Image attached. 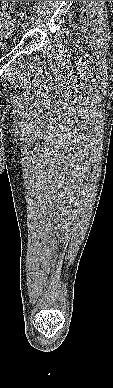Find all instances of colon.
<instances>
[{"mask_svg":"<svg viewBox=\"0 0 113 388\" xmlns=\"http://www.w3.org/2000/svg\"><path fill=\"white\" fill-rule=\"evenodd\" d=\"M0 2H1V3H0L1 5H4V3H3L2 1H0ZM2 7H3V6H2Z\"/></svg>","mask_w":113,"mask_h":388,"instance_id":"colon-1","label":"colon"}]
</instances>
